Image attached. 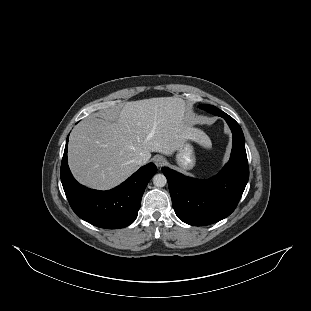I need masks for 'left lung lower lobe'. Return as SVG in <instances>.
Here are the masks:
<instances>
[{
  "mask_svg": "<svg viewBox=\"0 0 311 311\" xmlns=\"http://www.w3.org/2000/svg\"><path fill=\"white\" fill-rule=\"evenodd\" d=\"M220 116L232 131L233 147L229 162L216 176L198 180L162 168L176 215L193 226L209 225L229 216L237 207L249 178L242 129L223 111Z\"/></svg>",
  "mask_w": 311,
  "mask_h": 311,
  "instance_id": "obj_1",
  "label": "left lung lower lobe"
}]
</instances>
